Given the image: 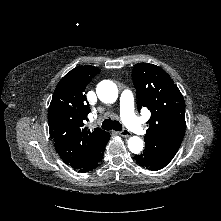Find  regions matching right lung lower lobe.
I'll use <instances>...</instances> for the list:
<instances>
[{"instance_id": "98d812e1", "label": "right lung lower lobe", "mask_w": 221, "mask_h": 221, "mask_svg": "<svg viewBox=\"0 0 221 221\" xmlns=\"http://www.w3.org/2000/svg\"><path fill=\"white\" fill-rule=\"evenodd\" d=\"M109 139H110V134L108 133L105 141L99 147V149H98L97 153L95 154L94 158L88 164H86L83 168L79 169V172H88V171H91V170H93L94 168H96L98 166V163L103 158L104 150H105L106 144L108 143Z\"/></svg>"}]
</instances>
